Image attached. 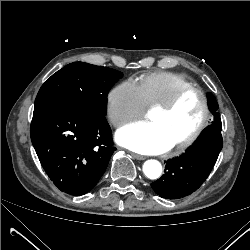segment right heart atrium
<instances>
[{
  "label": "right heart atrium",
  "mask_w": 250,
  "mask_h": 250,
  "mask_svg": "<svg viewBox=\"0 0 250 250\" xmlns=\"http://www.w3.org/2000/svg\"><path fill=\"white\" fill-rule=\"evenodd\" d=\"M144 110L140 92L131 81H123L111 88L106 97V112L115 128L138 118Z\"/></svg>",
  "instance_id": "obj_1"
}]
</instances>
